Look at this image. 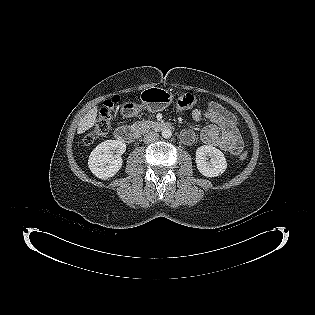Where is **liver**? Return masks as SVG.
Instances as JSON below:
<instances>
[{"label": "liver", "instance_id": "obj_1", "mask_svg": "<svg viewBox=\"0 0 315 315\" xmlns=\"http://www.w3.org/2000/svg\"><path fill=\"white\" fill-rule=\"evenodd\" d=\"M97 107L90 109L87 114L80 120L78 124V133L81 134L90 128H92L96 123Z\"/></svg>", "mask_w": 315, "mask_h": 315}]
</instances>
